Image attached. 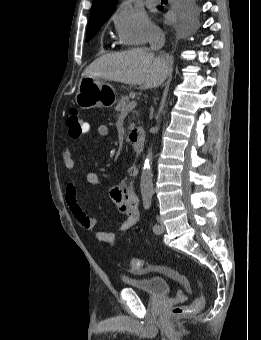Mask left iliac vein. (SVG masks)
Listing matches in <instances>:
<instances>
[{
    "label": "left iliac vein",
    "instance_id": "left-iliac-vein-1",
    "mask_svg": "<svg viewBox=\"0 0 261 340\" xmlns=\"http://www.w3.org/2000/svg\"><path fill=\"white\" fill-rule=\"evenodd\" d=\"M158 226H159V229L157 231H155L156 234H162L164 233L165 231V226L162 222V220L160 218H158Z\"/></svg>",
    "mask_w": 261,
    "mask_h": 340
}]
</instances>
